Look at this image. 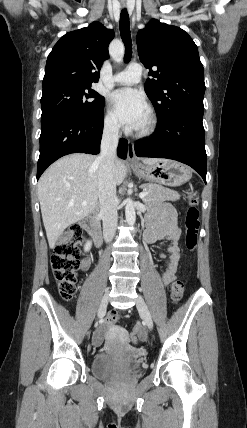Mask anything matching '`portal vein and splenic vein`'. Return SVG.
I'll return each instance as SVG.
<instances>
[{
	"mask_svg": "<svg viewBox=\"0 0 247 428\" xmlns=\"http://www.w3.org/2000/svg\"><path fill=\"white\" fill-rule=\"evenodd\" d=\"M146 192L145 191H143V192H141L140 194H139V197L141 198V199H143V198H145L146 197ZM82 205L83 206H85V205H87V202L86 201H83L82 202Z\"/></svg>",
	"mask_w": 247,
	"mask_h": 428,
	"instance_id": "18ae733b",
	"label": "portal vein and splenic vein"
}]
</instances>
